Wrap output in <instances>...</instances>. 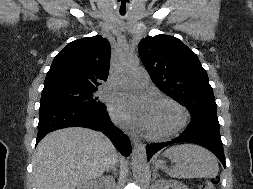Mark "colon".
Returning <instances> with one entry per match:
<instances>
[{"instance_id":"obj_1","label":"colon","mask_w":253,"mask_h":189,"mask_svg":"<svg viewBox=\"0 0 253 189\" xmlns=\"http://www.w3.org/2000/svg\"><path fill=\"white\" fill-rule=\"evenodd\" d=\"M217 184L216 178L207 179L203 182V184L199 187V189H214Z\"/></svg>"}]
</instances>
